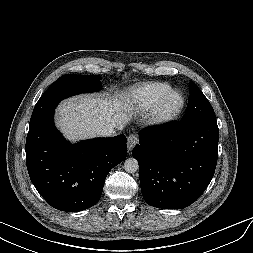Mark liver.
Segmentation results:
<instances>
[{
    "mask_svg": "<svg viewBox=\"0 0 253 253\" xmlns=\"http://www.w3.org/2000/svg\"><path fill=\"white\" fill-rule=\"evenodd\" d=\"M56 125L70 141L95 137L105 126L122 130L132 118L133 107L127 95L108 98L82 95L60 103Z\"/></svg>",
    "mask_w": 253,
    "mask_h": 253,
    "instance_id": "6515ba94",
    "label": "liver"
}]
</instances>
